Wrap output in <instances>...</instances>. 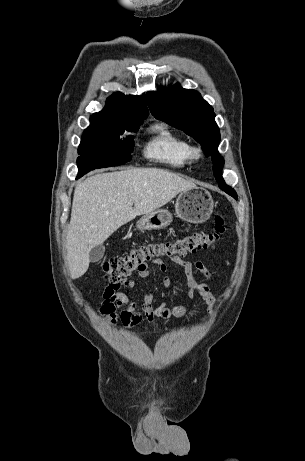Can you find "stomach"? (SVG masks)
I'll return each mask as SVG.
<instances>
[{"instance_id":"1","label":"stomach","mask_w":305,"mask_h":461,"mask_svg":"<svg viewBox=\"0 0 305 461\" xmlns=\"http://www.w3.org/2000/svg\"><path fill=\"white\" fill-rule=\"evenodd\" d=\"M211 194L203 188H192L181 192L175 203L176 216L182 220L199 224L208 220L213 212ZM172 214L166 209H158L142 216L136 224L138 230H160L170 225Z\"/></svg>"}]
</instances>
